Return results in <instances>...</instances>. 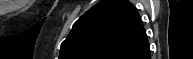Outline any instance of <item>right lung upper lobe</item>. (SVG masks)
Wrapping results in <instances>:
<instances>
[{
  "mask_svg": "<svg viewBox=\"0 0 193 59\" xmlns=\"http://www.w3.org/2000/svg\"><path fill=\"white\" fill-rule=\"evenodd\" d=\"M146 44L136 8L127 0H102L75 22L59 59H127Z\"/></svg>",
  "mask_w": 193,
  "mask_h": 59,
  "instance_id": "right-lung-upper-lobe-1",
  "label": "right lung upper lobe"
}]
</instances>
